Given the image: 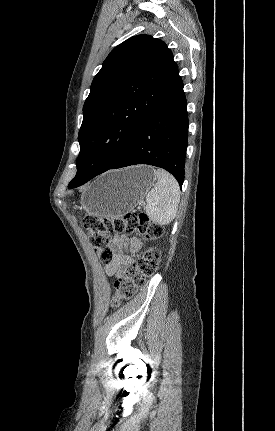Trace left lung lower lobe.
Wrapping results in <instances>:
<instances>
[{"label": "left lung lower lobe", "instance_id": "left-lung-lower-lobe-1", "mask_svg": "<svg viewBox=\"0 0 275 431\" xmlns=\"http://www.w3.org/2000/svg\"><path fill=\"white\" fill-rule=\"evenodd\" d=\"M186 106L187 101L183 91V82L179 72H177L168 93L120 157L111 166L98 171L94 175L76 174L68 187L76 188L107 170L135 164H149L161 167L170 172L181 187L184 181V163L189 125Z\"/></svg>", "mask_w": 275, "mask_h": 431}]
</instances>
